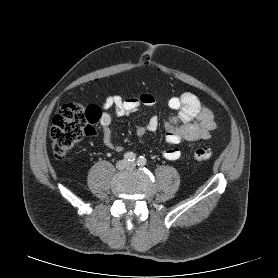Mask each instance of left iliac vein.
<instances>
[{
	"mask_svg": "<svg viewBox=\"0 0 278 278\" xmlns=\"http://www.w3.org/2000/svg\"><path fill=\"white\" fill-rule=\"evenodd\" d=\"M135 166H136V164L133 162L128 164V168H130V169L135 168Z\"/></svg>",
	"mask_w": 278,
	"mask_h": 278,
	"instance_id": "1",
	"label": "left iliac vein"
}]
</instances>
